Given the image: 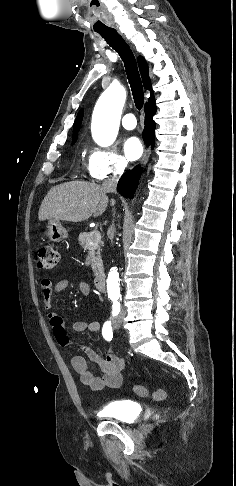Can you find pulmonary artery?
<instances>
[{"mask_svg": "<svg viewBox=\"0 0 236 486\" xmlns=\"http://www.w3.org/2000/svg\"><path fill=\"white\" fill-rule=\"evenodd\" d=\"M121 123H122V126L125 129H128V130L134 129L136 127V124H137L136 118H135L134 114H132V113L125 114L122 117Z\"/></svg>", "mask_w": 236, "mask_h": 486, "instance_id": "1", "label": "pulmonary artery"}]
</instances>
